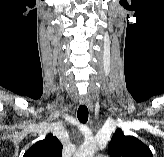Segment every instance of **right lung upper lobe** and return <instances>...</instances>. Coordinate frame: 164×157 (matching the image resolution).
<instances>
[{"label":"right lung upper lobe","mask_w":164,"mask_h":157,"mask_svg":"<svg viewBox=\"0 0 164 157\" xmlns=\"http://www.w3.org/2000/svg\"><path fill=\"white\" fill-rule=\"evenodd\" d=\"M62 144L57 137L48 134L44 140L36 142L23 157H62Z\"/></svg>","instance_id":"1"}]
</instances>
